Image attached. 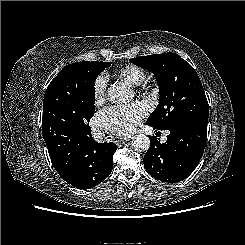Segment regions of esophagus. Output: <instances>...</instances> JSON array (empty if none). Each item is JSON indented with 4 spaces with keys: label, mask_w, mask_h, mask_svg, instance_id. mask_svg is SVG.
Here are the masks:
<instances>
[{
    "label": "esophagus",
    "mask_w": 245,
    "mask_h": 245,
    "mask_svg": "<svg viewBox=\"0 0 245 245\" xmlns=\"http://www.w3.org/2000/svg\"><path fill=\"white\" fill-rule=\"evenodd\" d=\"M131 138H132V137L129 136V137H126V138H124V139H120V140H118V143H124L125 141H130Z\"/></svg>",
    "instance_id": "esophagus-1"
}]
</instances>
